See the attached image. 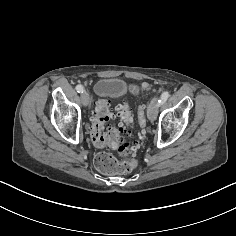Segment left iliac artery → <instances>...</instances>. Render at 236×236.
<instances>
[{"label":"left iliac artery","mask_w":236,"mask_h":236,"mask_svg":"<svg viewBox=\"0 0 236 236\" xmlns=\"http://www.w3.org/2000/svg\"><path fill=\"white\" fill-rule=\"evenodd\" d=\"M169 98V92L165 91L162 93L161 98L158 100V105L160 106Z\"/></svg>","instance_id":"obj_1"}]
</instances>
